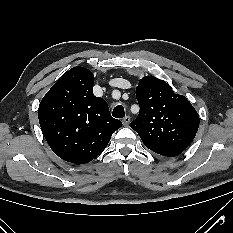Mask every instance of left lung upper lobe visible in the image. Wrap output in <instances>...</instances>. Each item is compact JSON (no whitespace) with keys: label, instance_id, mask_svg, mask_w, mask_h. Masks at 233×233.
<instances>
[{"label":"left lung upper lobe","instance_id":"5c2ea615","mask_svg":"<svg viewBox=\"0 0 233 233\" xmlns=\"http://www.w3.org/2000/svg\"><path fill=\"white\" fill-rule=\"evenodd\" d=\"M139 114L130 124L144 145L166 157L182 153L194 139L199 115L183 95L165 81L143 77L136 89Z\"/></svg>","mask_w":233,"mask_h":233}]
</instances>
